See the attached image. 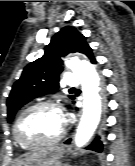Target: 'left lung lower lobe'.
Here are the masks:
<instances>
[{
  "label": "left lung lower lobe",
  "mask_w": 135,
  "mask_h": 166,
  "mask_svg": "<svg viewBox=\"0 0 135 166\" xmlns=\"http://www.w3.org/2000/svg\"><path fill=\"white\" fill-rule=\"evenodd\" d=\"M91 63L92 64H96V60L95 58H93L91 60ZM70 139L68 141H66L65 143L68 144L70 143ZM87 149L89 150H93V151H96V152H102L103 151V143L101 141V137L100 136H97L94 141L87 147Z\"/></svg>",
  "instance_id": "left-lung-lower-lobe-1"
}]
</instances>
